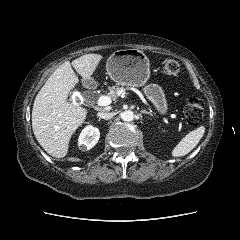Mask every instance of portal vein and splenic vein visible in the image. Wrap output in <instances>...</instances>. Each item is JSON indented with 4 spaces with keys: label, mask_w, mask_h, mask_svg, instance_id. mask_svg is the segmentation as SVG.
<instances>
[{
    "label": "portal vein and splenic vein",
    "mask_w": 240,
    "mask_h": 240,
    "mask_svg": "<svg viewBox=\"0 0 240 240\" xmlns=\"http://www.w3.org/2000/svg\"><path fill=\"white\" fill-rule=\"evenodd\" d=\"M111 102L112 101H111L110 97H108V96H101V97L98 98L97 104L99 106H108V105L111 104ZM170 117L171 118H176L177 116H176V114H170Z\"/></svg>",
    "instance_id": "obj_1"
}]
</instances>
